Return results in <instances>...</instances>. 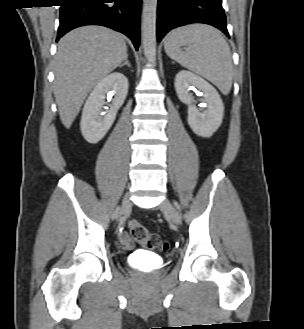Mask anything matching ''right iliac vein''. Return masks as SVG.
I'll list each match as a JSON object with an SVG mask.
<instances>
[{"label":"right iliac vein","instance_id":"right-iliac-vein-1","mask_svg":"<svg viewBox=\"0 0 304 329\" xmlns=\"http://www.w3.org/2000/svg\"><path fill=\"white\" fill-rule=\"evenodd\" d=\"M130 209H131V202H130L129 196L125 195L123 202H122V206L119 210V215L121 216L123 214H126L127 212H129Z\"/></svg>","mask_w":304,"mask_h":329}]
</instances>
